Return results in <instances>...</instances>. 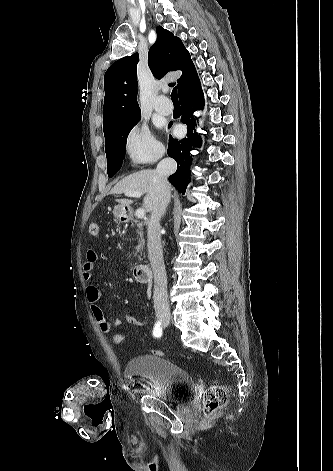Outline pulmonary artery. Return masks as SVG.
Listing matches in <instances>:
<instances>
[{
    "instance_id": "1",
    "label": "pulmonary artery",
    "mask_w": 333,
    "mask_h": 471,
    "mask_svg": "<svg viewBox=\"0 0 333 471\" xmlns=\"http://www.w3.org/2000/svg\"><path fill=\"white\" fill-rule=\"evenodd\" d=\"M154 109L160 114L169 115L173 111V105L166 96L159 95L155 100Z\"/></svg>"
}]
</instances>
